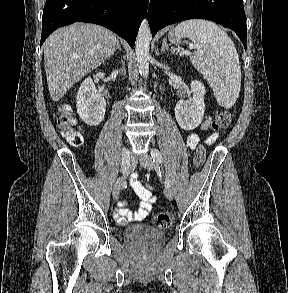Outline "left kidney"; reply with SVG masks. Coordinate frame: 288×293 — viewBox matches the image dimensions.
I'll return each instance as SVG.
<instances>
[{
    "label": "left kidney",
    "mask_w": 288,
    "mask_h": 293,
    "mask_svg": "<svg viewBox=\"0 0 288 293\" xmlns=\"http://www.w3.org/2000/svg\"><path fill=\"white\" fill-rule=\"evenodd\" d=\"M191 91L193 98L180 100L175 107L176 120L179 126L187 131L193 130L201 124L205 111V86L200 81H192Z\"/></svg>",
    "instance_id": "obj_1"
}]
</instances>
